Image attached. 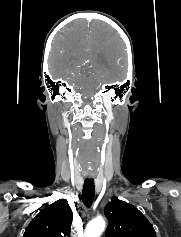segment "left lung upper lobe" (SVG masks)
I'll return each mask as SVG.
<instances>
[{"label":"left lung upper lobe","instance_id":"1","mask_svg":"<svg viewBox=\"0 0 181 237\" xmlns=\"http://www.w3.org/2000/svg\"><path fill=\"white\" fill-rule=\"evenodd\" d=\"M106 237H156L148 219L133 205L113 197L105 206Z\"/></svg>","mask_w":181,"mask_h":237}]
</instances>
